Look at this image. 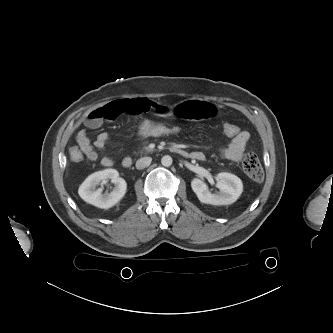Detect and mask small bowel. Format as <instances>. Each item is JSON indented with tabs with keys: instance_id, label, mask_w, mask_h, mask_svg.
Listing matches in <instances>:
<instances>
[{
	"instance_id": "1",
	"label": "small bowel",
	"mask_w": 333,
	"mask_h": 333,
	"mask_svg": "<svg viewBox=\"0 0 333 333\" xmlns=\"http://www.w3.org/2000/svg\"><path fill=\"white\" fill-rule=\"evenodd\" d=\"M150 110H154L159 114L167 113L165 107L145 98L119 99L94 109L84 120L85 128L80 129L76 135L78 149L86 159L96 161L98 159V151L104 149L110 138L107 133H100L92 144L88 135V129H96L100 127L104 121L114 120L123 114L138 116ZM248 140L249 134L245 131L240 132L227 146L221 149L222 156L231 161H241ZM191 156L198 160L204 159V154L198 151L192 152ZM100 163L104 167H110L113 165V160L108 156H103L100 159Z\"/></svg>"
}]
</instances>
